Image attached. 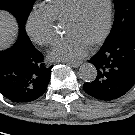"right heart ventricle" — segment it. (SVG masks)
I'll use <instances>...</instances> for the list:
<instances>
[{
  "instance_id": "obj_1",
  "label": "right heart ventricle",
  "mask_w": 135,
  "mask_h": 135,
  "mask_svg": "<svg viewBox=\"0 0 135 135\" xmlns=\"http://www.w3.org/2000/svg\"><path fill=\"white\" fill-rule=\"evenodd\" d=\"M77 0H46L43 10L53 22H64Z\"/></svg>"
}]
</instances>
